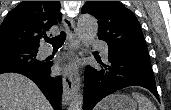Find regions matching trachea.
<instances>
[{"label":"trachea","instance_id":"3493384b","mask_svg":"<svg viewBox=\"0 0 171 110\" xmlns=\"http://www.w3.org/2000/svg\"><path fill=\"white\" fill-rule=\"evenodd\" d=\"M45 39V41L47 42V43H50V44H52V46H53V48L54 49H58V48H60L62 45H63V43H64V41H65V39H66V33L64 32V31H62L58 36H56V37H53V38H48V37H46V38H44Z\"/></svg>","mask_w":171,"mask_h":110}]
</instances>
